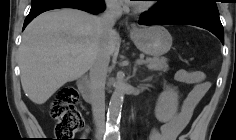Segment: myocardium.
<instances>
[{
	"instance_id": "obj_1",
	"label": "myocardium",
	"mask_w": 236,
	"mask_h": 140,
	"mask_svg": "<svg viewBox=\"0 0 236 140\" xmlns=\"http://www.w3.org/2000/svg\"><path fill=\"white\" fill-rule=\"evenodd\" d=\"M151 7H152V4L150 2H146V3H140L136 5L135 9L136 11L143 12L150 9Z\"/></svg>"
}]
</instances>
